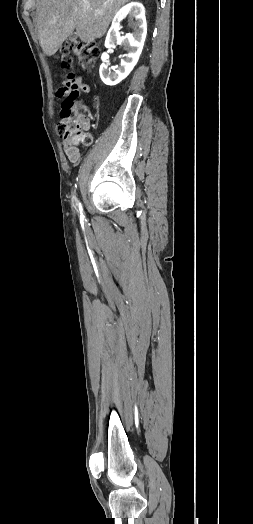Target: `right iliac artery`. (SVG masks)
Listing matches in <instances>:
<instances>
[{"instance_id":"right-iliac-artery-1","label":"right iliac artery","mask_w":253,"mask_h":524,"mask_svg":"<svg viewBox=\"0 0 253 524\" xmlns=\"http://www.w3.org/2000/svg\"><path fill=\"white\" fill-rule=\"evenodd\" d=\"M73 206H74V208L77 210V212L80 213L81 216H82V215H83V214H82V212H83L82 205H81V203L78 201L77 198H75V199L73 200Z\"/></svg>"}]
</instances>
